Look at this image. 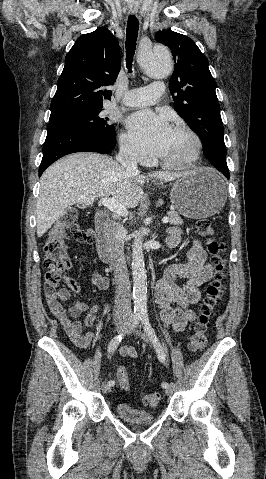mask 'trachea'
Instances as JSON below:
<instances>
[{
    "instance_id": "trachea-1",
    "label": "trachea",
    "mask_w": 266,
    "mask_h": 479,
    "mask_svg": "<svg viewBox=\"0 0 266 479\" xmlns=\"http://www.w3.org/2000/svg\"><path fill=\"white\" fill-rule=\"evenodd\" d=\"M139 22L134 15H130L127 22L126 30V64L131 73V63L136 49V41L138 37Z\"/></svg>"
}]
</instances>
